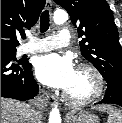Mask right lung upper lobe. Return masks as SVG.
Returning <instances> with one entry per match:
<instances>
[{"label": "right lung upper lobe", "mask_w": 122, "mask_h": 123, "mask_svg": "<svg viewBox=\"0 0 122 123\" xmlns=\"http://www.w3.org/2000/svg\"><path fill=\"white\" fill-rule=\"evenodd\" d=\"M46 0H1V49H16L17 35L36 24Z\"/></svg>", "instance_id": "1"}]
</instances>
